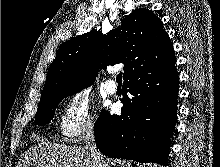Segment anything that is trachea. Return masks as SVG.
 I'll return each instance as SVG.
<instances>
[{"mask_svg": "<svg viewBox=\"0 0 220 167\" xmlns=\"http://www.w3.org/2000/svg\"><path fill=\"white\" fill-rule=\"evenodd\" d=\"M116 81H117L118 83H122V73H119V74L117 75Z\"/></svg>", "mask_w": 220, "mask_h": 167, "instance_id": "1", "label": "trachea"}]
</instances>
